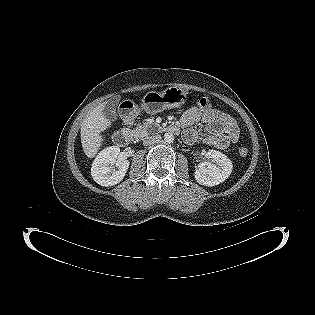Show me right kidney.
<instances>
[{
    "label": "right kidney",
    "mask_w": 315,
    "mask_h": 315,
    "mask_svg": "<svg viewBox=\"0 0 315 315\" xmlns=\"http://www.w3.org/2000/svg\"><path fill=\"white\" fill-rule=\"evenodd\" d=\"M119 154L120 148L111 146L103 149L97 155L91 167V175L96 183L108 187L123 180L130 162L128 160H117Z\"/></svg>",
    "instance_id": "1"
}]
</instances>
